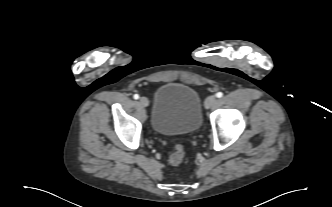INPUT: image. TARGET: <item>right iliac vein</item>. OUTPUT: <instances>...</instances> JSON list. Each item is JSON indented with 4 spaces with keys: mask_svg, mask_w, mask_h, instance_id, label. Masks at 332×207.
I'll list each match as a JSON object with an SVG mask.
<instances>
[{
    "mask_svg": "<svg viewBox=\"0 0 332 207\" xmlns=\"http://www.w3.org/2000/svg\"><path fill=\"white\" fill-rule=\"evenodd\" d=\"M139 101L143 107H147L149 105V101L146 97H141Z\"/></svg>",
    "mask_w": 332,
    "mask_h": 207,
    "instance_id": "obj_1",
    "label": "right iliac vein"
}]
</instances>
